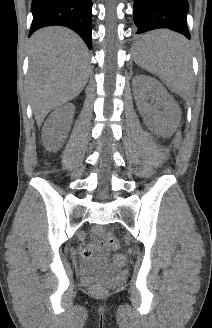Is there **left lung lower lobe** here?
<instances>
[{
  "label": "left lung lower lobe",
  "instance_id": "1",
  "mask_svg": "<svg viewBox=\"0 0 212 328\" xmlns=\"http://www.w3.org/2000/svg\"><path fill=\"white\" fill-rule=\"evenodd\" d=\"M189 6L187 0H134L133 19L137 34L149 30L168 28L190 39L186 24ZM151 46V42L140 37L138 46Z\"/></svg>",
  "mask_w": 212,
  "mask_h": 328
}]
</instances>
